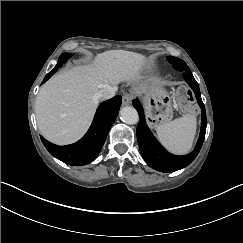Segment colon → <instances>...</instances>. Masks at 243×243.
I'll list each match as a JSON object with an SVG mask.
<instances>
[{"instance_id": "5ec220e1", "label": "colon", "mask_w": 243, "mask_h": 243, "mask_svg": "<svg viewBox=\"0 0 243 243\" xmlns=\"http://www.w3.org/2000/svg\"><path fill=\"white\" fill-rule=\"evenodd\" d=\"M177 100L182 111H184L185 113L194 112L193 98L189 90L179 89L177 92Z\"/></svg>"}]
</instances>
